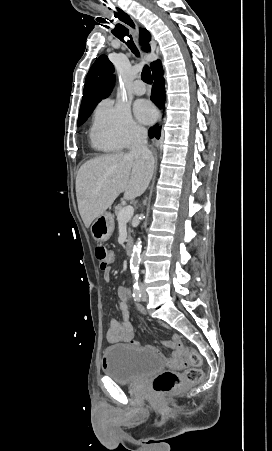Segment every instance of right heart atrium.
<instances>
[{"instance_id":"obj_1","label":"right heart atrium","mask_w":272,"mask_h":451,"mask_svg":"<svg viewBox=\"0 0 272 451\" xmlns=\"http://www.w3.org/2000/svg\"><path fill=\"white\" fill-rule=\"evenodd\" d=\"M141 132L126 106L109 101L97 106L92 127L96 143L126 148Z\"/></svg>"}]
</instances>
